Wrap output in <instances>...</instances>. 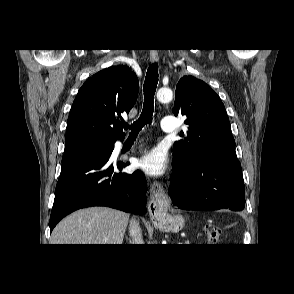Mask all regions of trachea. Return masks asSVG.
<instances>
[{
  "instance_id": "3493384b",
  "label": "trachea",
  "mask_w": 294,
  "mask_h": 294,
  "mask_svg": "<svg viewBox=\"0 0 294 294\" xmlns=\"http://www.w3.org/2000/svg\"><path fill=\"white\" fill-rule=\"evenodd\" d=\"M158 83V64H152L146 73L143 91H144V104L143 110L138 120H136L131 126L130 136H137L139 131L146 124L152 122V116L154 111V94ZM127 129L129 126L127 123L122 124Z\"/></svg>"
}]
</instances>
